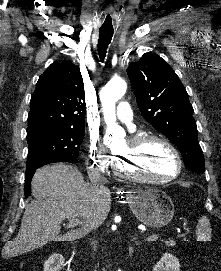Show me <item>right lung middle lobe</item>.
<instances>
[{
	"mask_svg": "<svg viewBox=\"0 0 221 271\" xmlns=\"http://www.w3.org/2000/svg\"><path fill=\"white\" fill-rule=\"evenodd\" d=\"M84 130L37 127L27 130L28 158L26 169L53 162H75Z\"/></svg>",
	"mask_w": 221,
	"mask_h": 271,
	"instance_id": "dd1d6c3e",
	"label": "right lung middle lobe"
}]
</instances>
